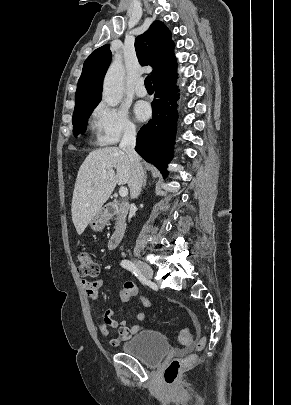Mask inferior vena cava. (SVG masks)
I'll return each instance as SVG.
<instances>
[{
  "instance_id": "obj_1",
  "label": "inferior vena cava",
  "mask_w": 291,
  "mask_h": 405,
  "mask_svg": "<svg viewBox=\"0 0 291 405\" xmlns=\"http://www.w3.org/2000/svg\"><path fill=\"white\" fill-rule=\"evenodd\" d=\"M136 130L128 128L121 140L119 147L128 155L131 165V175L128 182L131 198H137L141 192L144 181V170L140 163V158L135 151Z\"/></svg>"
}]
</instances>
